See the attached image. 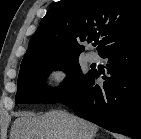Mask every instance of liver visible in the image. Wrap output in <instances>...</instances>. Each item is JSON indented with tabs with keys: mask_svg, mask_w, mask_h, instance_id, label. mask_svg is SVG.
I'll use <instances>...</instances> for the list:
<instances>
[{
	"mask_svg": "<svg viewBox=\"0 0 141 139\" xmlns=\"http://www.w3.org/2000/svg\"><path fill=\"white\" fill-rule=\"evenodd\" d=\"M98 130L97 125L62 110L21 112L11 127L10 139H94Z\"/></svg>",
	"mask_w": 141,
	"mask_h": 139,
	"instance_id": "1",
	"label": "liver"
}]
</instances>
